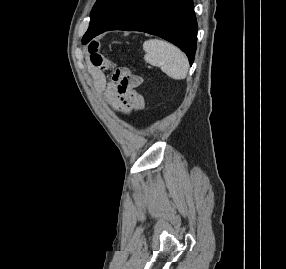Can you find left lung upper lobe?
Here are the masks:
<instances>
[{
  "mask_svg": "<svg viewBox=\"0 0 286 269\" xmlns=\"http://www.w3.org/2000/svg\"><path fill=\"white\" fill-rule=\"evenodd\" d=\"M143 0H97L90 14V25L83 36L86 44L102 29L115 24Z\"/></svg>",
  "mask_w": 286,
  "mask_h": 269,
  "instance_id": "5c2ea615",
  "label": "left lung upper lobe"
}]
</instances>
